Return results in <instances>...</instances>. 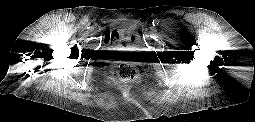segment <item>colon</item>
I'll return each mask as SVG.
<instances>
[{"label":"colon","mask_w":255,"mask_h":122,"mask_svg":"<svg viewBox=\"0 0 255 122\" xmlns=\"http://www.w3.org/2000/svg\"><path fill=\"white\" fill-rule=\"evenodd\" d=\"M118 76L126 82H133L138 79V70L137 68L128 62L122 63L119 65L117 70Z\"/></svg>","instance_id":"colon-1"}]
</instances>
